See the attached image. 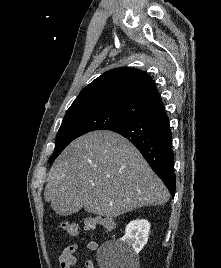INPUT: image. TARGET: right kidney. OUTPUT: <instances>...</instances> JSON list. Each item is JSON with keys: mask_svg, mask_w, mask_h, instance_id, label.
I'll return each instance as SVG.
<instances>
[{"mask_svg": "<svg viewBox=\"0 0 221 268\" xmlns=\"http://www.w3.org/2000/svg\"><path fill=\"white\" fill-rule=\"evenodd\" d=\"M150 223L145 220H133L125 229V235L121 238L123 244L133 252H140L148 241Z\"/></svg>", "mask_w": 221, "mask_h": 268, "instance_id": "ca27d5eb", "label": "right kidney"}]
</instances>
